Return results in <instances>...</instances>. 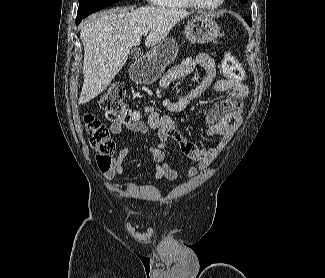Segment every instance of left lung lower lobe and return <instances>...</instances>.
<instances>
[{"label": "left lung lower lobe", "instance_id": "1", "mask_svg": "<svg viewBox=\"0 0 325 278\" xmlns=\"http://www.w3.org/2000/svg\"><path fill=\"white\" fill-rule=\"evenodd\" d=\"M244 19H245V21L249 24V26L252 25V22H251L250 18L245 17Z\"/></svg>", "mask_w": 325, "mask_h": 278}]
</instances>
